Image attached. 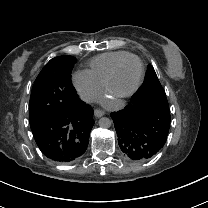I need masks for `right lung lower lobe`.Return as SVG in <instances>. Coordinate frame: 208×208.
<instances>
[{
  "instance_id": "98d812e1",
  "label": "right lung lower lobe",
  "mask_w": 208,
  "mask_h": 208,
  "mask_svg": "<svg viewBox=\"0 0 208 208\" xmlns=\"http://www.w3.org/2000/svg\"><path fill=\"white\" fill-rule=\"evenodd\" d=\"M93 125V109L79 97L73 110L30 123L41 152L58 163L74 162L85 152Z\"/></svg>"
}]
</instances>
